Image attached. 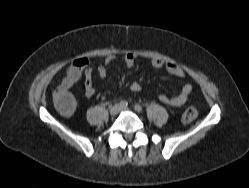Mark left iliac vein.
I'll list each match as a JSON object with an SVG mask.
<instances>
[{
  "label": "left iliac vein",
  "mask_w": 249,
  "mask_h": 188,
  "mask_svg": "<svg viewBox=\"0 0 249 188\" xmlns=\"http://www.w3.org/2000/svg\"><path fill=\"white\" fill-rule=\"evenodd\" d=\"M121 111H129L130 109L128 107H120Z\"/></svg>",
  "instance_id": "1"
}]
</instances>
